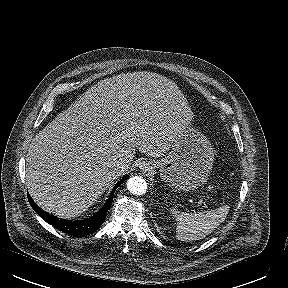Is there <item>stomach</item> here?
I'll return each instance as SVG.
<instances>
[{
  "label": "stomach",
  "mask_w": 288,
  "mask_h": 288,
  "mask_svg": "<svg viewBox=\"0 0 288 288\" xmlns=\"http://www.w3.org/2000/svg\"><path fill=\"white\" fill-rule=\"evenodd\" d=\"M214 162L209 140L198 130L186 129L171 146V151L159 160L149 161L146 170L159 169L161 179L179 191L202 186L208 179Z\"/></svg>",
  "instance_id": "obj_1"
}]
</instances>
